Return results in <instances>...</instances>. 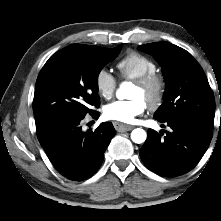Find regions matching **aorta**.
<instances>
[{
  "mask_svg": "<svg viewBox=\"0 0 221 221\" xmlns=\"http://www.w3.org/2000/svg\"><path fill=\"white\" fill-rule=\"evenodd\" d=\"M129 86V82H123L120 85V88L116 91V96L118 99H126L127 98V88ZM147 138V134L145 130L141 128H136L131 133V139L134 143L141 144L145 142Z\"/></svg>",
  "mask_w": 221,
  "mask_h": 221,
  "instance_id": "762f6f07",
  "label": "aorta"
}]
</instances>
